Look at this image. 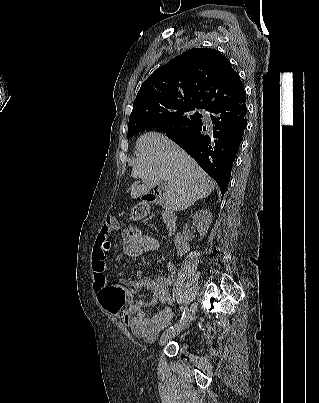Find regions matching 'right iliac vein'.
I'll list each match as a JSON object with an SVG mask.
<instances>
[{
	"mask_svg": "<svg viewBox=\"0 0 319 403\" xmlns=\"http://www.w3.org/2000/svg\"><path fill=\"white\" fill-rule=\"evenodd\" d=\"M196 310H197V305L192 304L190 309L188 310L187 315L184 317V319L181 322H179V324L174 326L173 329L167 330L161 336L160 345H164L169 339H171L175 335L182 332L185 328H187L189 326V324L191 323V321L193 320Z\"/></svg>",
	"mask_w": 319,
	"mask_h": 403,
	"instance_id": "obj_1",
	"label": "right iliac vein"
}]
</instances>
